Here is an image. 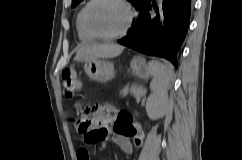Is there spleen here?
I'll return each instance as SVG.
<instances>
[{
    "label": "spleen",
    "mask_w": 242,
    "mask_h": 160,
    "mask_svg": "<svg viewBox=\"0 0 242 160\" xmlns=\"http://www.w3.org/2000/svg\"><path fill=\"white\" fill-rule=\"evenodd\" d=\"M148 71L153 76L150 84L153 94L150 95L148 101H155L159 105H163L167 97L169 83L173 77V69L171 66L158 61H150L148 63Z\"/></svg>",
    "instance_id": "3e777b00"
}]
</instances>
